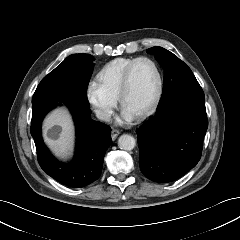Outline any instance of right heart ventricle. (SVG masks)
<instances>
[{
  "mask_svg": "<svg viewBox=\"0 0 240 240\" xmlns=\"http://www.w3.org/2000/svg\"><path fill=\"white\" fill-rule=\"evenodd\" d=\"M136 58H116L102 66L96 74L99 87L114 99L118 98L123 74Z\"/></svg>",
  "mask_w": 240,
  "mask_h": 240,
  "instance_id": "e07e8e85",
  "label": "right heart ventricle"
}]
</instances>
